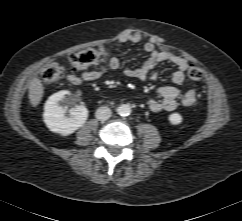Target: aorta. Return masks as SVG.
Masks as SVG:
<instances>
[{
  "label": "aorta",
  "mask_w": 242,
  "mask_h": 221,
  "mask_svg": "<svg viewBox=\"0 0 242 221\" xmlns=\"http://www.w3.org/2000/svg\"><path fill=\"white\" fill-rule=\"evenodd\" d=\"M117 113L121 116H128L131 113V106L129 104H122L117 107Z\"/></svg>",
  "instance_id": "762f6f07"
}]
</instances>
